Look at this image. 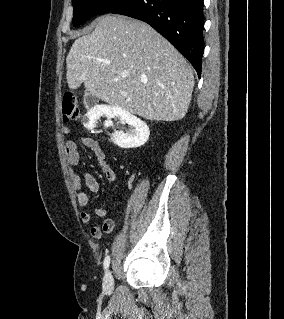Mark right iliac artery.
<instances>
[{
	"instance_id": "1",
	"label": "right iliac artery",
	"mask_w": 284,
	"mask_h": 319,
	"mask_svg": "<svg viewBox=\"0 0 284 319\" xmlns=\"http://www.w3.org/2000/svg\"><path fill=\"white\" fill-rule=\"evenodd\" d=\"M109 264H110V256L107 255V256L105 257L104 263H103L105 270L109 267Z\"/></svg>"
}]
</instances>
